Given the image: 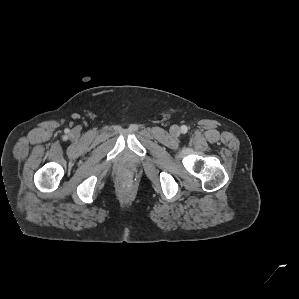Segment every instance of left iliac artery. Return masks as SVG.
<instances>
[{"instance_id":"left-iliac-artery-1","label":"left iliac artery","mask_w":299,"mask_h":299,"mask_svg":"<svg viewBox=\"0 0 299 299\" xmlns=\"http://www.w3.org/2000/svg\"><path fill=\"white\" fill-rule=\"evenodd\" d=\"M187 131H188L187 126H185V125L181 126V132H182L183 134L187 133Z\"/></svg>"}]
</instances>
